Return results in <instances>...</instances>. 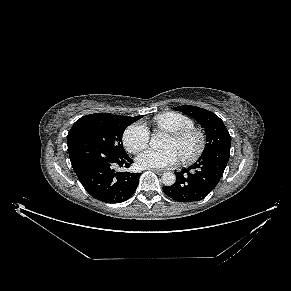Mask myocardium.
I'll return each instance as SVG.
<instances>
[{
  "mask_svg": "<svg viewBox=\"0 0 291 291\" xmlns=\"http://www.w3.org/2000/svg\"><path fill=\"white\" fill-rule=\"evenodd\" d=\"M170 135L180 142L190 137H194L196 139V146L194 150L189 154L181 156V160L184 163H191L198 159L206 145V135L204 131L200 128L196 127L185 128L182 130L170 132Z\"/></svg>",
  "mask_w": 291,
  "mask_h": 291,
  "instance_id": "f54148a6",
  "label": "myocardium"
}]
</instances>
